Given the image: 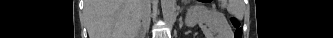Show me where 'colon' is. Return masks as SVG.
Masks as SVG:
<instances>
[{
	"label": "colon",
	"mask_w": 333,
	"mask_h": 38,
	"mask_svg": "<svg viewBox=\"0 0 333 38\" xmlns=\"http://www.w3.org/2000/svg\"><path fill=\"white\" fill-rule=\"evenodd\" d=\"M230 22L234 28V38H242L243 32L240 25V21L234 17H231Z\"/></svg>",
	"instance_id": "5ec220e1"
}]
</instances>
